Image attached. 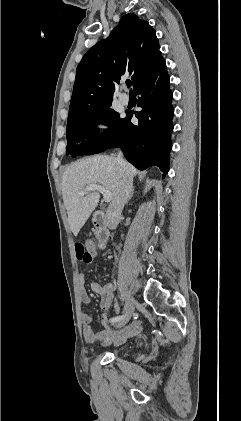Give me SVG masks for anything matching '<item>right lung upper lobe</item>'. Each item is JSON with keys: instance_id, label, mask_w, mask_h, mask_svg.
Masks as SVG:
<instances>
[{"instance_id": "1", "label": "right lung upper lobe", "mask_w": 241, "mask_h": 421, "mask_svg": "<svg viewBox=\"0 0 241 421\" xmlns=\"http://www.w3.org/2000/svg\"><path fill=\"white\" fill-rule=\"evenodd\" d=\"M155 30L133 13L110 36L88 50L77 66L68 122L111 106L116 83L125 74L133 87L162 57Z\"/></svg>"}]
</instances>
